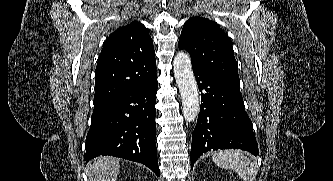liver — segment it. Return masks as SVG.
Segmentation results:
<instances>
[{
    "instance_id": "liver-1",
    "label": "liver",
    "mask_w": 333,
    "mask_h": 181,
    "mask_svg": "<svg viewBox=\"0 0 333 181\" xmlns=\"http://www.w3.org/2000/svg\"><path fill=\"white\" fill-rule=\"evenodd\" d=\"M119 158L101 156L88 162L85 168L88 181H116L120 172Z\"/></svg>"
}]
</instances>
